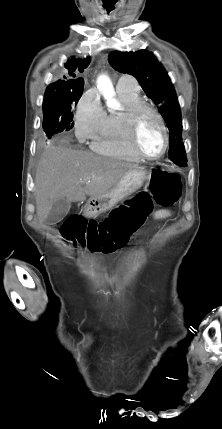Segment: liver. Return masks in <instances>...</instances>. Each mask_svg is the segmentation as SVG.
<instances>
[{
	"label": "liver",
	"instance_id": "1",
	"mask_svg": "<svg viewBox=\"0 0 222 429\" xmlns=\"http://www.w3.org/2000/svg\"><path fill=\"white\" fill-rule=\"evenodd\" d=\"M137 164L95 155L88 151L52 146L42 155L35 177L36 210L42 223L55 201H84L108 192ZM90 180L82 183V181ZM85 184L83 187L82 185Z\"/></svg>",
	"mask_w": 222,
	"mask_h": 429
}]
</instances>
